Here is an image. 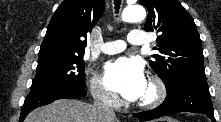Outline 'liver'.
<instances>
[{
	"label": "liver",
	"mask_w": 221,
	"mask_h": 122,
	"mask_svg": "<svg viewBox=\"0 0 221 122\" xmlns=\"http://www.w3.org/2000/svg\"><path fill=\"white\" fill-rule=\"evenodd\" d=\"M25 122H118L101 118L95 106L79 100L59 99L33 110Z\"/></svg>",
	"instance_id": "6515ba94"
}]
</instances>
